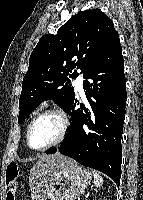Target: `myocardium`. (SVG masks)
I'll list each match as a JSON object with an SVG mask.
<instances>
[{
  "label": "myocardium",
  "instance_id": "obj_1",
  "mask_svg": "<svg viewBox=\"0 0 143 200\" xmlns=\"http://www.w3.org/2000/svg\"><path fill=\"white\" fill-rule=\"evenodd\" d=\"M46 115H56L57 117L60 118L61 122H62V129L60 134L58 135V137L52 141L51 143L47 144L46 146H43L41 148H34L31 146L30 141H29V135H30V130L33 126V124L40 119L43 116ZM70 125H71V121L70 118L68 116V114L60 107H52V108H48L42 112H40L39 114H37L28 124L27 126V130H26V134H25V140H26V144L27 146L34 150V151H45L48 150L56 145H58L59 143H61L67 136L68 131L70 129Z\"/></svg>",
  "mask_w": 143,
  "mask_h": 200
}]
</instances>
